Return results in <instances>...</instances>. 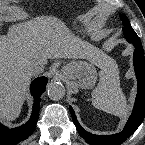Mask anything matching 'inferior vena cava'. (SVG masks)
<instances>
[{"label": "inferior vena cava", "mask_w": 145, "mask_h": 145, "mask_svg": "<svg viewBox=\"0 0 145 145\" xmlns=\"http://www.w3.org/2000/svg\"><path fill=\"white\" fill-rule=\"evenodd\" d=\"M44 64L41 61L35 62V63H30L26 66V71L27 73H29L30 75H35V74H39L43 71L44 68Z\"/></svg>", "instance_id": "602c4592"}]
</instances>
